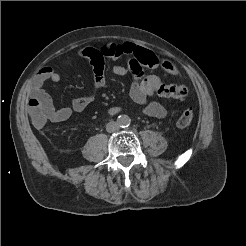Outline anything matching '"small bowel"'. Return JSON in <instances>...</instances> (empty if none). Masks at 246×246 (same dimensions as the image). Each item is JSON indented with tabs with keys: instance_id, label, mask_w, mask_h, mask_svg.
I'll return each mask as SVG.
<instances>
[{
	"instance_id": "small-bowel-1",
	"label": "small bowel",
	"mask_w": 246,
	"mask_h": 246,
	"mask_svg": "<svg viewBox=\"0 0 246 246\" xmlns=\"http://www.w3.org/2000/svg\"><path fill=\"white\" fill-rule=\"evenodd\" d=\"M136 46L126 42L122 44H105L101 47H85L81 49L75 58L66 61L65 65H69L77 58L88 60L94 71V87L93 90L82 97L72 100L71 106L55 108L50 96L46 93L43 86L48 80L54 82L61 78L60 72L53 67H44L35 76L32 84V97H39L50 103L52 110L48 120L52 122H62L69 119L74 113H81L95 99L96 94L105 85L104 63L105 59H118L126 57L127 63L124 65H116L111 72L117 76H123L130 73L134 80L130 86L129 95L133 102L143 106V112L146 115L165 118L168 113V107L158 101L151 100L155 97L156 89L160 85V78L155 74H145V69L138 67L133 61V52ZM122 107L111 106L107 109V113L115 115L121 112Z\"/></svg>"
}]
</instances>
